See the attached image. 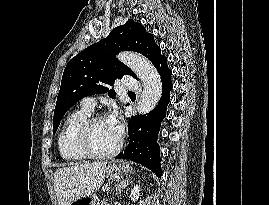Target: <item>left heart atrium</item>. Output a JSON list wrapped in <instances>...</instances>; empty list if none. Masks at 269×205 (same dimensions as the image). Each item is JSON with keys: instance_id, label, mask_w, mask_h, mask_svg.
<instances>
[{"instance_id": "1", "label": "left heart atrium", "mask_w": 269, "mask_h": 205, "mask_svg": "<svg viewBox=\"0 0 269 205\" xmlns=\"http://www.w3.org/2000/svg\"><path fill=\"white\" fill-rule=\"evenodd\" d=\"M105 121L111 131L119 138L122 134L123 127L118 110L114 108L106 117Z\"/></svg>"}]
</instances>
